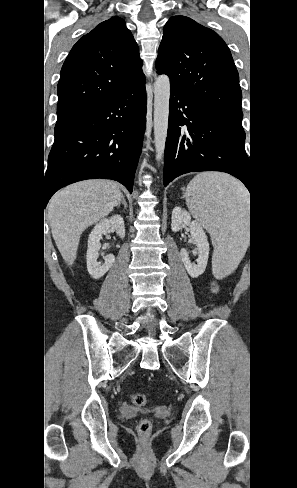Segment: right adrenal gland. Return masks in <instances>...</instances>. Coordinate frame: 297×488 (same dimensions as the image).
I'll use <instances>...</instances> for the list:
<instances>
[{
    "instance_id": "obj_1",
    "label": "right adrenal gland",
    "mask_w": 297,
    "mask_h": 488,
    "mask_svg": "<svg viewBox=\"0 0 297 488\" xmlns=\"http://www.w3.org/2000/svg\"><path fill=\"white\" fill-rule=\"evenodd\" d=\"M121 204H123V205H124V208H125V210H126V209H127V203H126V201H125V199H124V196H122V200H121V202H120V203L117 205V207L119 208Z\"/></svg>"
}]
</instances>
